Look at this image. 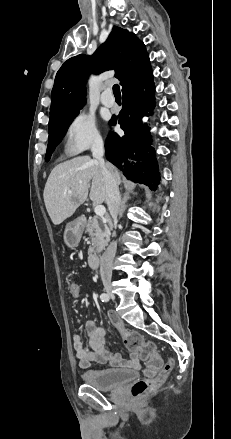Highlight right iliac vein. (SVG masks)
I'll return each mask as SVG.
<instances>
[{
  "instance_id": "right-iliac-vein-1",
  "label": "right iliac vein",
  "mask_w": 231,
  "mask_h": 439,
  "mask_svg": "<svg viewBox=\"0 0 231 439\" xmlns=\"http://www.w3.org/2000/svg\"><path fill=\"white\" fill-rule=\"evenodd\" d=\"M105 291L107 292V294H108L110 297H114L113 289H112V286H111L110 284H106V285H105Z\"/></svg>"
}]
</instances>
